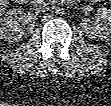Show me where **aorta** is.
I'll use <instances>...</instances> for the list:
<instances>
[{"instance_id": "1", "label": "aorta", "mask_w": 111, "mask_h": 106, "mask_svg": "<svg viewBox=\"0 0 111 106\" xmlns=\"http://www.w3.org/2000/svg\"><path fill=\"white\" fill-rule=\"evenodd\" d=\"M56 14H57L58 16H63V15H64V10H63L62 8H57V9H56Z\"/></svg>"}]
</instances>
